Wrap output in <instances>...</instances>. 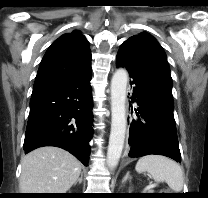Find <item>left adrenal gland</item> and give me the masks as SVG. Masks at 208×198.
Returning <instances> with one entry per match:
<instances>
[{
    "label": "left adrenal gland",
    "mask_w": 208,
    "mask_h": 198,
    "mask_svg": "<svg viewBox=\"0 0 208 198\" xmlns=\"http://www.w3.org/2000/svg\"><path fill=\"white\" fill-rule=\"evenodd\" d=\"M127 180L131 181V176H130V172L127 171L125 177L122 179V184L125 183ZM131 189V187H129V190Z\"/></svg>",
    "instance_id": "obj_1"
}]
</instances>
